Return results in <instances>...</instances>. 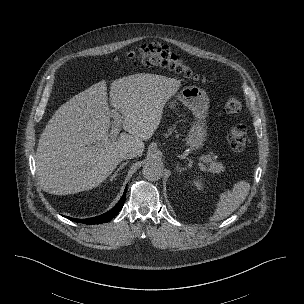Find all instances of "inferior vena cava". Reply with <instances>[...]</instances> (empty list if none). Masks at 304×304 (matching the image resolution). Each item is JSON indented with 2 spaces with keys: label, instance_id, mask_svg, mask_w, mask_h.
Segmentation results:
<instances>
[{
  "label": "inferior vena cava",
  "instance_id": "1",
  "mask_svg": "<svg viewBox=\"0 0 304 304\" xmlns=\"http://www.w3.org/2000/svg\"><path fill=\"white\" fill-rule=\"evenodd\" d=\"M138 156L137 151L130 150L121 154V159H133Z\"/></svg>",
  "mask_w": 304,
  "mask_h": 304
}]
</instances>
